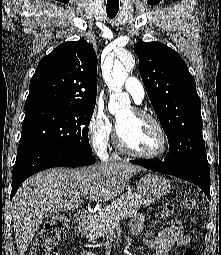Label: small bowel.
Wrapping results in <instances>:
<instances>
[{
	"label": "small bowel",
	"instance_id": "obj_1",
	"mask_svg": "<svg viewBox=\"0 0 221 255\" xmlns=\"http://www.w3.org/2000/svg\"><path fill=\"white\" fill-rule=\"evenodd\" d=\"M143 226V217L141 215L135 216L130 224L131 234L133 236H139L143 230ZM144 241L151 249L154 250L153 255H168L171 251L176 252L185 248L190 242V237L184 231L181 223L173 220L166 223L162 230L157 234L146 232L144 234ZM77 255L96 254L92 251H85Z\"/></svg>",
	"mask_w": 221,
	"mask_h": 255
}]
</instances>
